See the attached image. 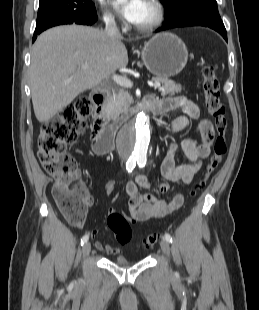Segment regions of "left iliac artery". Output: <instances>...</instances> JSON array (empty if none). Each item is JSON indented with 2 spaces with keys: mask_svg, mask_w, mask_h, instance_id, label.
<instances>
[{
  "mask_svg": "<svg viewBox=\"0 0 259 310\" xmlns=\"http://www.w3.org/2000/svg\"><path fill=\"white\" fill-rule=\"evenodd\" d=\"M138 165H139V167H144V166H145V162L138 161ZM165 239H166L169 243H172V242H173V239H172L171 235L168 234V233L165 234Z\"/></svg>",
  "mask_w": 259,
  "mask_h": 310,
  "instance_id": "left-iliac-artery-1",
  "label": "left iliac artery"
}]
</instances>
